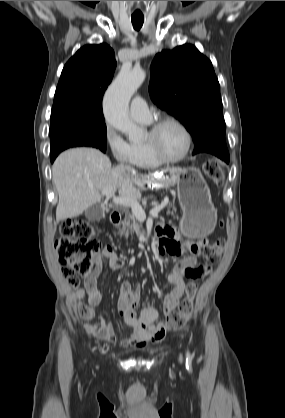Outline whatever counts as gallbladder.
I'll use <instances>...</instances> for the list:
<instances>
[{
	"label": "gallbladder",
	"mask_w": 285,
	"mask_h": 418,
	"mask_svg": "<svg viewBox=\"0 0 285 418\" xmlns=\"http://www.w3.org/2000/svg\"><path fill=\"white\" fill-rule=\"evenodd\" d=\"M85 217L88 221H100L105 217L104 207L96 203L85 210Z\"/></svg>",
	"instance_id": "gallbladder-1"
}]
</instances>
